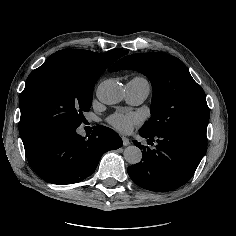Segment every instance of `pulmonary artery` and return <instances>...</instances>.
<instances>
[{"label": "pulmonary artery", "instance_id": "pulmonary-artery-1", "mask_svg": "<svg viewBox=\"0 0 236 236\" xmlns=\"http://www.w3.org/2000/svg\"><path fill=\"white\" fill-rule=\"evenodd\" d=\"M125 99L131 104H140L145 101L150 93L148 86L141 85L134 80H130L125 85Z\"/></svg>", "mask_w": 236, "mask_h": 236}]
</instances>
